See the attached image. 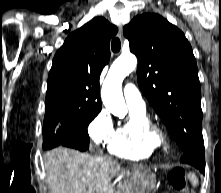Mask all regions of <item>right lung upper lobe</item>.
Returning <instances> with one entry per match:
<instances>
[{"label": "right lung upper lobe", "instance_id": "right-lung-upper-lobe-1", "mask_svg": "<svg viewBox=\"0 0 221 193\" xmlns=\"http://www.w3.org/2000/svg\"><path fill=\"white\" fill-rule=\"evenodd\" d=\"M117 31L105 18L95 17L67 37L49 73L46 113L101 110L99 78L110 59V39Z\"/></svg>", "mask_w": 221, "mask_h": 193}]
</instances>
